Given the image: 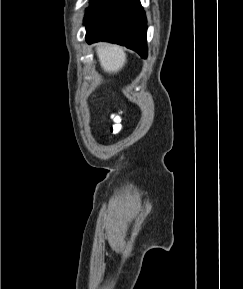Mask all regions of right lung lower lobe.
<instances>
[{"mask_svg": "<svg viewBox=\"0 0 243 289\" xmlns=\"http://www.w3.org/2000/svg\"><path fill=\"white\" fill-rule=\"evenodd\" d=\"M86 41H109L147 57L146 16L139 0H94L85 14Z\"/></svg>", "mask_w": 243, "mask_h": 289, "instance_id": "98d812e1", "label": "right lung lower lobe"}]
</instances>
